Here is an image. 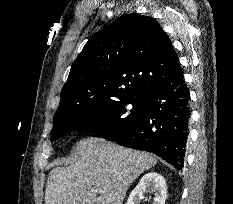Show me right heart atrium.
Here are the masks:
<instances>
[{"label":"right heart atrium","mask_w":233,"mask_h":204,"mask_svg":"<svg viewBox=\"0 0 233 204\" xmlns=\"http://www.w3.org/2000/svg\"><path fill=\"white\" fill-rule=\"evenodd\" d=\"M102 126H103V121H102V120H96V121H94V122L91 124L90 130H91V131H97V130H99Z\"/></svg>","instance_id":"right-heart-atrium-1"}]
</instances>
